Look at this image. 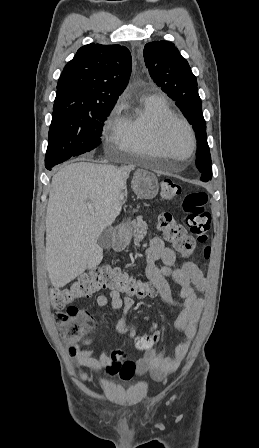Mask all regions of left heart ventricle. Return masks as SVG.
Masks as SVG:
<instances>
[{
    "label": "left heart ventricle",
    "instance_id": "1",
    "mask_svg": "<svg viewBox=\"0 0 259 448\" xmlns=\"http://www.w3.org/2000/svg\"><path fill=\"white\" fill-rule=\"evenodd\" d=\"M168 149L147 150L146 154L161 158L167 162H187L190 156L191 140L186 127L180 123L173 124L166 136Z\"/></svg>",
    "mask_w": 259,
    "mask_h": 448
}]
</instances>
